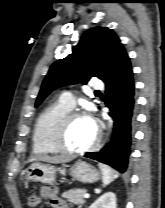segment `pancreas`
Wrapping results in <instances>:
<instances>
[{
  "instance_id": "1",
  "label": "pancreas",
  "mask_w": 165,
  "mask_h": 208,
  "mask_svg": "<svg viewBox=\"0 0 165 208\" xmlns=\"http://www.w3.org/2000/svg\"><path fill=\"white\" fill-rule=\"evenodd\" d=\"M86 193V189L75 188L70 189L62 194V197L67 199L70 203L78 205V208L84 204V194Z\"/></svg>"
}]
</instances>
